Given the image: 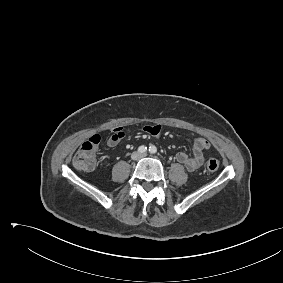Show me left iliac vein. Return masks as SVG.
I'll list each match as a JSON object with an SVG mask.
<instances>
[{"mask_svg":"<svg viewBox=\"0 0 283 283\" xmlns=\"http://www.w3.org/2000/svg\"><path fill=\"white\" fill-rule=\"evenodd\" d=\"M146 156H147L146 153H143V154L140 155V157H142V158H143V157H146Z\"/></svg>","mask_w":283,"mask_h":283,"instance_id":"4c4485c4","label":"left iliac vein"}]
</instances>
